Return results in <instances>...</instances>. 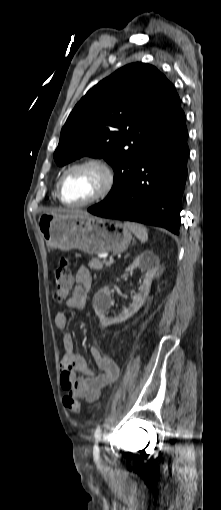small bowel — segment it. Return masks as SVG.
<instances>
[{
  "label": "small bowel",
  "mask_w": 221,
  "mask_h": 510,
  "mask_svg": "<svg viewBox=\"0 0 221 510\" xmlns=\"http://www.w3.org/2000/svg\"><path fill=\"white\" fill-rule=\"evenodd\" d=\"M76 291L74 296L66 302L67 307L82 309L85 304V295L92 286V276L85 266L78 267L75 274ZM69 323V318L64 312H58L55 316V325L63 329ZM64 356L61 362L60 383L62 388L75 398L86 402H93L100 397L101 391L107 385L113 383L119 375V367L115 361L102 355L95 346L90 348V353L98 367L95 372L87 365L85 359L75 352V338L72 333L63 336Z\"/></svg>",
  "instance_id": "1"
}]
</instances>
